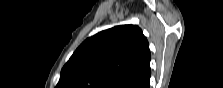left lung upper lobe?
<instances>
[{"mask_svg":"<svg viewBox=\"0 0 223 88\" xmlns=\"http://www.w3.org/2000/svg\"><path fill=\"white\" fill-rule=\"evenodd\" d=\"M142 30L121 25L86 39L61 70L56 88H135L151 74Z\"/></svg>","mask_w":223,"mask_h":88,"instance_id":"5c2ea615","label":"left lung upper lobe"}]
</instances>
